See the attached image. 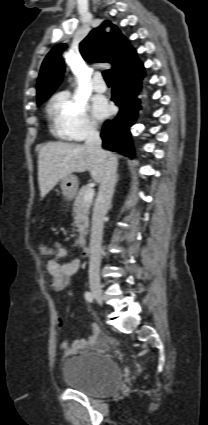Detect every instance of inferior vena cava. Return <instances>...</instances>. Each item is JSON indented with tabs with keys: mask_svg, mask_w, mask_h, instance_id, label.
<instances>
[{
	"mask_svg": "<svg viewBox=\"0 0 208 425\" xmlns=\"http://www.w3.org/2000/svg\"><path fill=\"white\" fill-rule=\"evenodd\" d=\"M101 138L95 127L87 128L86 147L100 157L104 162V173L100 182L98 196L92 215L90 238L89 280L91 283L100 282L99 270L102 254V235L104 218L107 214L116 183L117 159L111 153L101 148Z\"/></svg>",
	"mask_w": 208,
	"mask_h": 425,
	"instance_id": "602c4592",
	"label": "inferior vena cava"
}]
</instances>
